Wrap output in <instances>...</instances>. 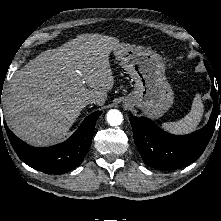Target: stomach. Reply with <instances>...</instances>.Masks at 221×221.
Returning <instances> with one entry per match:
<instances>
[{
	"mask_svg": "<svg viewBox=\"0 0 221 221\" xmlns=\"http://www.w3.org/2000/svg\"><path fill=\"white\" fill-rule=\"evenodd\" d=\"M113 51L135 81L134 90L123 98L124 106L140 108L153 119L161 117L174 100L162 57L149 49L126 43L116 45Z\"/></svg>",
	"mask_w": 221,
	"mask_h": 221,
	"instance_id": "obj_1",
	"label": "stomach"
}]
</instances>
